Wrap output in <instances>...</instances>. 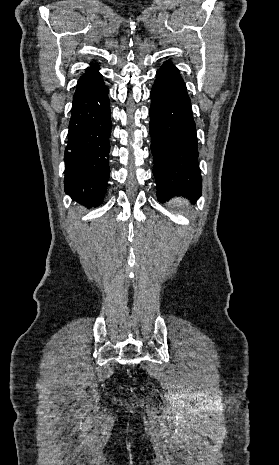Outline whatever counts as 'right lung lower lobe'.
<instances>
[{"label":"right lung lower lobe","mask_w":279,"mask_h":465,"mask_svg":"<svg viewBox=\"0 0 279 465\" xmlns=\"http://www.w3.org/2000/svg\"><path fill=\"white\" fill-rule=\"evenodd\" d=\"M111 133L108 88L102 77L74 94L65 149V192L79 203L97 206L106 193Z\"/></svg>","instance_id":"right-lung-lower-lobe-1"}]
</instances>
